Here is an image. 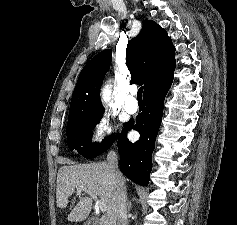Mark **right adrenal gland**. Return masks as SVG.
I'll return each instance as SVG.
<instances>
[{
  "label": "right adrenal gland",
  "mask_w": 237,
  "mask_h": 225,
  "mask_svg": "<svg viewBox=\"0 0 237 225\" xmlns=\"http://www.w3.org/2000/svg\"><path fill=\"white\" fill-rule=\"evenodd\" d=\"M127 207H128V212L131 210L132 204L130 200H127Z\"/></svg>",
  "instance_id": "obj_1"
}]
</instances>
